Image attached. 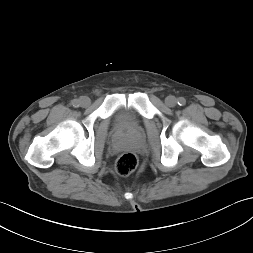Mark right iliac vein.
<instances>
[{
	"label": "right iliac vein",
	"instance_id": "1",
	"mask_svg": "<svg viewBox=\"0 0 253 253\" xmlns=\"http://www.w3.org/2000/svg\"><path fill=\"white\" fill-rule=\"evenodd\" d=\"M79 103L82 107H87L90 105L91 101L87 96H83L79 99Z\"/></svg>",
	"mask_w": 253,
	"mask_h": 253
}]
</instances>
